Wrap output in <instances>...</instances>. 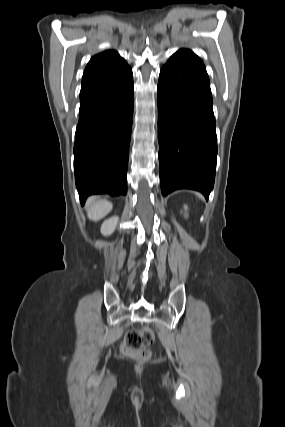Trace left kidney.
Returning <instances> with one entry per match:
<instances>
[{
	"label": "left kidney",
	"instance_id": "1",
	"mask_svg": "<svg viewBox=\"0 0 285 427\" xmlns=\"http://www.w3.org/2000/svg\"><path fill=\"white\" fill-rule=\"evenodd\" d=\"M184 209H185V211H187V206L186 205L184 206Z\"/></svg>",
	"mask_w": 285,
	"mask_h": 427
}]
</instances>
